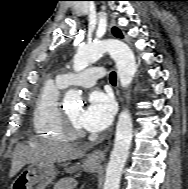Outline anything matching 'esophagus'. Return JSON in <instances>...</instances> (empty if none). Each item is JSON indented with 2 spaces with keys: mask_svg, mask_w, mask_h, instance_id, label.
Wrapping results in <instances>:
<instances>
[{
  "mask_svg": "<svg viewBox=\"0 0 188 189\" xmlns=\"http://www.w3.org/2000/svg\"><path fill=\"white\" fill-rule=\"evenodd\" d=\"M105 158L104 151L95 150L89 156L88 159L94 164H100Z\"/></svg>",
  "mask_w": 188,
  "mask_h": 189,
  "instance_id": "obj_1",
  "label": "esophagus"
}]
</instances>
